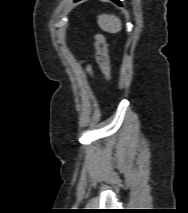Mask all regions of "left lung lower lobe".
I'll return each mask as SVG.
<instances>
[{"instance_id": "left-lung-lower-lobe-1", "label": "left lung lower lobe", "mask_w": 188, "mask_h": 213, "mask_svg": "<svg viewBox=\"0 0 188 213\" xmlns=\"http://www.w3.org/2000/svg\"><path fill=\"white\" fill-rule=\"evenodd\" d=\"M75 1H79V0H75ZM113 2H116L117 4L120 5V2L118 0H112Z\"/></svg>"}]
</instances>
